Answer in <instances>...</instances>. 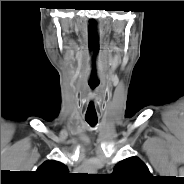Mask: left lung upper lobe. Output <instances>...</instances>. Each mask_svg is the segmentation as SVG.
I'll return each instance as SVG.
<instances>
[{"label": "left lung upper lobe", "instance_id": "obj_1", "mask_svg": "<svg viewBox=\"0 0 184 184\" xmlns=\"http://www.w3.org/2000/svg\"><path fill=\"white\" fill-rule=\"evenodd\" d=\"M111 176L117 184H146L152 175L139 158L130 157L118 162Z\"/></svg>", "mask_w": 184, "mask_h": 184}]
</instances>
